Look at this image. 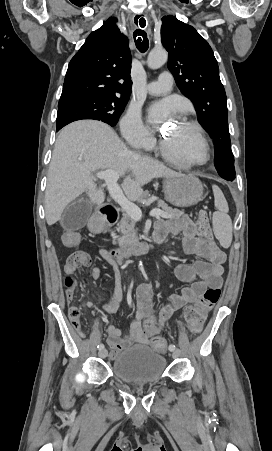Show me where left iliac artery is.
Masks as SVG:
<instances>
[{"mask_svg":"<svg viewBox=\"0 0 272 451\" xmlns=\"http://www.w3.org/2000/svg\"><path fill=\"white\" fill-rule=\"evenodd\" d=\"M176 349V346L174 344L169 345V350L174 351Z\"/></svg>","mask_w":272,"mask_h":451,"instance_id":"left-iliac-artery-1","label":"left iliac artery"}]
</instances>
